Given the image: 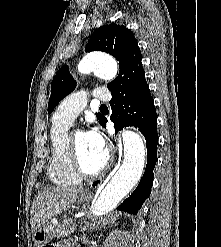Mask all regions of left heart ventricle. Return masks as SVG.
<instances>
[{"label":"left heart ventricle","mask_w":221,"mask_h":247,"mask_svg":"<svg viewBox=\"0 0 221 247\" xmlns=\"http://www.w3.org/2000/svg\"><path fill=\"white\" fill-rule=\"evenodd\" d=\"M74 137L84 169L87 172H94L99 169L105 160L106 152L97 150L89 142L85 133L75 132Z\"/></svg>","instance_id":"b2bd125f"}]
</instances>
